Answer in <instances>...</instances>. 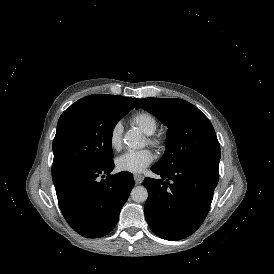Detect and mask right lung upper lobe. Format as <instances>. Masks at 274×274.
<instances>
[{"label": "right lung upper lobe", "instance_id": "right-lung-upper-lobe-1", "mask_svg": "<svg viewBox=\"0 0 274 274\" xmlns=\"http://www.w3.org/2000/svg\"><path fill=\"white\" fill-rule=\"evenodd\" d=\"M109 100H126L134 106L138 102L137 98H126V97L117 96V95L94 94V95H89V96H86V97L78 100L71 106H77V105H82V104H93V103H99V102H104V101H109Z\"/></svg>", "mask_w": 274, "mask_h": 274}]
</instances>
